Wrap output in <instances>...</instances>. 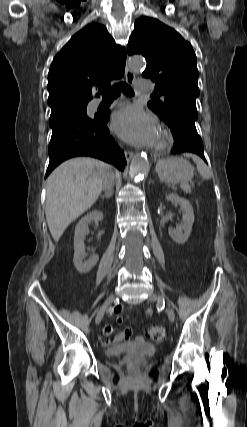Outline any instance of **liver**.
Here are the masks:
<instances>
[{
	"mask_svg": "<svg viewBox=\"0 0 247 427\" xmlns=\"http://www.w3.org/2000/svg\"><path fill=\"white\" fill-rule=\"evenodd\" d=\"M110 165L89 157L73 158L58 166L48 177L46 220L58 242L65 229L98 199Z\"/></svg>",
	"mask_w": 247,
	"mask_h": 427,
	"instance_id": "liver-1",
	"label": "liver"
}]
</instances>
